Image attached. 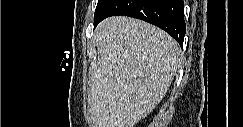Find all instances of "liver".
<instances>
[{
    "label": "liver",
    "instance_id": "liver-1",
    "mask_svg": "<svg viewBox=\"0 0 243 127\" xmlns=\"http://www.w3.org/2000/svg\"><path fill=\"white\" fill-rule=\"evenodd\" d=\"M98 67L89 106L95 127H134L161 102L178 70L181 49L163 30L115 16L96 31Z\"/></svg>",
    "mask_w": 243,
    "mask_h": 127
}]
</instances>
